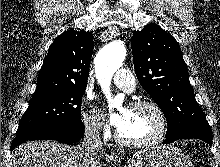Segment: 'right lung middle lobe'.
I'll return each mask as SVG.
<instances>
[{
	"label": "right lung middle lobe",
	"mask_w": 220,
	"mask_h": 167,
	"mask_svg": "<svg viewBox=\"0 0 220 167\" xmlns=\"http://www.w3.org/2000/svg\"><path fill=\"white\" fill-rule=\"evenodd\" d=\"M86 87H68L42 97L32 98L19 122L16 136L43 130L82 127L81 100Z\"/></svg>",
	"instance_id": "right-lung-middle-lobe-1"
}]
</instances>
